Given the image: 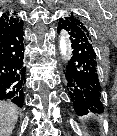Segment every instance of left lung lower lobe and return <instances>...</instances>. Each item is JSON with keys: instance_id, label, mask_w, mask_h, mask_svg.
Returning a JSON list of instances; mask_svg holds the SVG:
<instances>
[{"instance_id": "1", "label": "left lung lower lobe", "mask_w": 117, "mask_h": 136, "mask_svg": "<svg viewBox=\"0 0 117 136\" xmlns=\"http://www.w3.org/2000/svg\"><path fill=\"white\" fill-rule=\"evenodd\" d=\"M57 31L63 32L71 45L65 76L76 113L80 116L88 112L103 113L102 89L93 40L85 31L70 24L66 17L59 19Z\"/></svg>"}]
</instances>
